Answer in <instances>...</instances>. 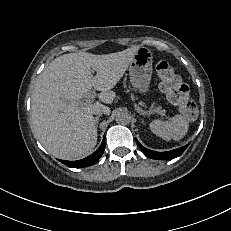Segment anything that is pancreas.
Instances as JSON below:
<instances>
[{
    "label": "pancreas",
    "mask_w": 231,
    "mask_h": 231,
    "mask_svg": "<svg viewBox=\"0 0 231 231\" xmlns=\"http://www.w3.org/2000/svg\"><path fill=\"white\" fill-rule=\"evenodd\" d=\"M154 111H156L158 114H160V115H162V116L165 115V110H162L161 108H157V109L154 110Z\"/></svg>",
    "instance_id": "pancreas-1"
}]
</instances>
